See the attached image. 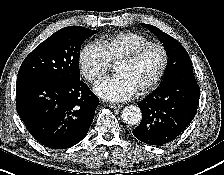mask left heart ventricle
Segmentation results:
<instances>
[{
  "label": "left heart ventricle",
  "instance_id": "left-heart-ventricle-1",
  "mask_svg": "<svg viewBox=\"0 0 224 175\" xmlns=\"http://www.w3.org/2000/svg\"><path fill=\"white\" fill-rule=\"evenodd\" d=\"M160 64V51L157 48H150L131 65L116 64L114 71L124 76L138 90L154 78Z\"/></svg>",
  "mask_w": 224,
  "mask_h": 175
}]
</instances>
